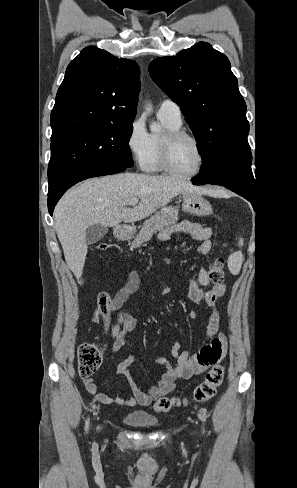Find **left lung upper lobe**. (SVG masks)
<instances>
[{"instance_id":"obj_1","label":"left lung upper lobe","mask_w":297,"mask_h":488,"mask_svg":"<svg viewBox=\"0 0 297 488\" xmlns=\"http://www.w3.org/2000/svg\"><path fill=\"white\" fill-rule=\"evenodd\" d=\"M228 58L199 42L149 64L153 81L176 102L199 143L201 182L229 180L255 189L246 103Z\"/></svg>"}]
</instances>
